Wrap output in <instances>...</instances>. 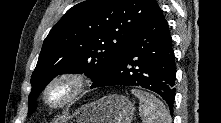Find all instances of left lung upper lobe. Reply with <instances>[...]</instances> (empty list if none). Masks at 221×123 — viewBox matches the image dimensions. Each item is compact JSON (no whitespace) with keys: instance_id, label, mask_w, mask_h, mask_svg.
Instances as JSON below:
<instances>
[{"instance_id":"left-lung-upper-lobe-1","label":"left lung upper lobe","mask_w":221,"mask_h":123,"mask_svg":"<svg viewBox=\"0 0 221 123\" xmlns=\"http://www.w3.org/2000/svg\"><path fill=\"white\" fill-rule=\"evenodd\" d=\"M158 7L155 0H87L69 9L43 42L31 77L28 114L58 74L85 73L94 81L117 61Z\"/></svg>"}]
</instances>
